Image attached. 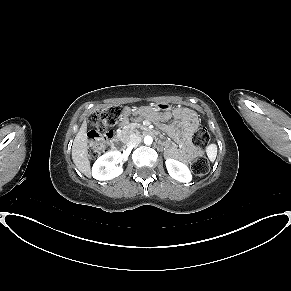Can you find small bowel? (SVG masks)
<instances>
[{
  "label": "small bowel",
  "instance_id": "1",
  "mask_svg": "<svg viewBox=\"0 0 291 291\" xmlns=\"http://www.w3.org/2000/svg\"><path fill=\"white\" fill-rule=\"evenodd\" d=\"M143 114H145V110L142 108L136 111L131 110L130 108H125L121 126L126 125L130 117ZM171 116L175 121L170 126L165 127V129L173 138L179 141V146L174 144L168 145L166 153L170 158L182 162H189L198 155V151L191 144L190 138L192 133L198 127L197 118L199 116V112L195 108L186 109L177 107L173 109ZM169 117V113H164L162 115L148 114V118L153 121L168 119Z\"/></svg>",
  "mask_w": 291,
  "mask_h": 291
}]
</instances>
